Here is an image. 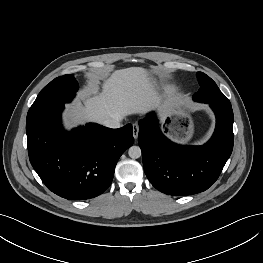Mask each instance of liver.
Returning a JSON list of instances; mask_svg holds the SVG:
<instances>
[{
  "instance_id": "obj_1",
  "label": "liver",
  "mask_w": 263,
  "mask_h": 263,
  "mask_svg": "<svg viewBox=\"0 0 263 263\" xmlns=\"http://www.w3.org/2000/svg\"><path fill=\"white\" fill-rule=\"evenodd\" d=\"M93 79L83 94V104L70 108L69 125L83 121L103 123L115 115L145 114L159 110L160 116L168 115L175 105L173 99L163 100L148 72L141 67L116 70L101 84Z\"/></svg>"
}]
</instances>
